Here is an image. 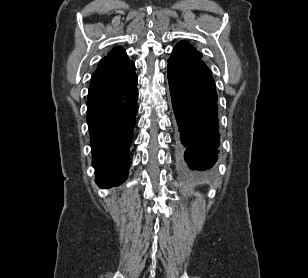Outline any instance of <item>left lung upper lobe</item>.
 <instances>
[{"label": "left lung upper lobe", "instance_id": "1", "mask_svg": "<svg viewBox=\"0 0 308 278\" xmlns=\"http://www.w3.org/2000/svg\"><path fill=\"white\" fill-rule=\"evenodd\" d=\"M202 54L187 41L179 42L173 49L168 63L173 65H187L201 60Z\"/></svg>", "mask_w": 308, "mask_h": 278}]
</instances>
